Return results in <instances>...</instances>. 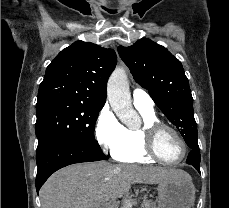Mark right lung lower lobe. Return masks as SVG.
I'll return each mask as SVG.
<instances>
[{
	"mask_svg": "<svg viewBox=\"0 0 229 208\" xmlns=\"http://www.w3.org/2000/svg\"><path fill=\"white\" fill-rule=\"evenodd\" d=\"M107 160L100 147H94L77 139L63 138L36 152L37 193L48 177L60 168L81 162Z\"/></svg>",
	"mask_w": 229,
	"mask_h": 208,
	"instance_id": "obj_1",
	"label": "right lung lower lobe"
}]
</instances>
